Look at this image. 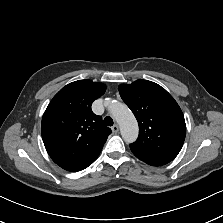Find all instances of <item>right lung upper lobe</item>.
I'll list each match as a JSON object with an SVG mask.
<instances>
[{
  "mask_svg": "<svg viewBox=\"0 0 223 223\" xmlns=\"http://www.w3.org/2000/svg\"><path fill=\"white\" fill-rule=\"evenodd\" d=\"M106 86L91 80H79L62 88L44 112L41 133L45 148L61 168L79 171L100 154L111 129L91 110L94 100Z\"/></svg>",
  "mask_w": 223,
  "mask_h": 223,
  "instance_id": "obj_1",
  "label": "right lung upper lobe"
}]
</instances>
